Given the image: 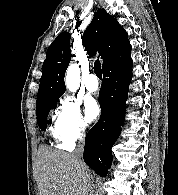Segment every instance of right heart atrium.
<instances>
[{"label":"right heart atrium","mask_w":178,"mask_h":195,"mask_svg":"<svg viewBox=\"0 0 178 195\" xmlns=\"http://www.w3.org/2000/svg\"><path fill=\"white\" fill-rule=\"evenodd\" d=\"M56 125L57 136L66 146L85 138L87 124L81 113L79 103L72 97L65 96L61 99Z\"/></svg>","instance_id":"right-heart-atrium-1"}]
</instances>
